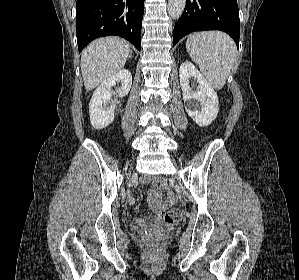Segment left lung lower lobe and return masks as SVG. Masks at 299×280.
Listing matches in <instances>:
<instances>
[{"mask_svg":"<svg viewBox=\"0 0 299 280\" xmlns=\"http://www.w3.org/2000/svg\"><path fill=\"white\" fill-rule=\"evenodd\" d=\"M239 28L237 0H188L174 27L173 45L194 31L221 30L239 46Z\"/></svg>","mask_w":299,"mask_h":280,"instance_id":"1","label":"left lung lower lobe"}]
</instances>
